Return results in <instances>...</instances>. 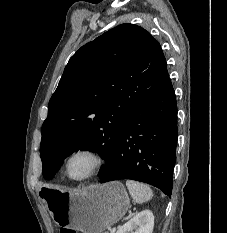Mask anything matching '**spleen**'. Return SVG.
Returning <instances> with one entry per match:
<instances>
[{"label": "spleen", "instance_id": "3e777b00", "mask_svg": "<svg viewBox=\"0 0 227 233\" xmlns=\"http://www.w3.org/2000/svg\"><path fill=\"white\" fill-rule=\"evenodd\" d=\"M126 186L132 199L138 204L147 202L153 197L152 190L146 184L134 180H127Z\"/></svg>", "mask_w": 227, "mask_h": 233}]
</instances>
